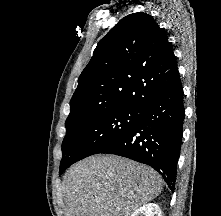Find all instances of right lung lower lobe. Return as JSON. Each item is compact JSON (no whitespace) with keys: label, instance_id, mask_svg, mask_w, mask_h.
<instances>
[{"label":"right lung lower lobe","instance_id":"98d812e1","mask_svg":"<svg viewBox=\"0 0 221 216\" xmlns=\"http://www.w3.org/2000/svg\"><path fill=\"white\" fill-rule=\"evenodd\" d=\"M184 116L183 88L177 76L139 107L134 127L101 153L153 167L174 192Z\"/></svg>","mask_w":221,"mask_h":216}]
</instances>
